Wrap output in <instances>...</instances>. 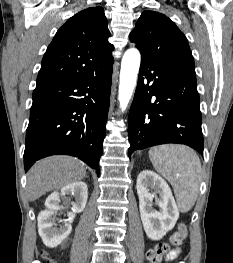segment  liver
Here are the masks:
<instances>
[{
  "label": "liver",
  "mask_w": 233,
  "mask_h": 263,
  "mask_svg": "<svg viewBox=\"0 0 233 263\" xmlns=\"http://www.w3.org/2000/svg\"><path fill=\"white\" fill-rule=\"evenodd\" d=\"M86 176L84 165L69 156H52L38 161L27 175V196L34 201L48 191L80 181Z\"/></svg>",
  "instance_id": "obj_1"
}]
</instances>
